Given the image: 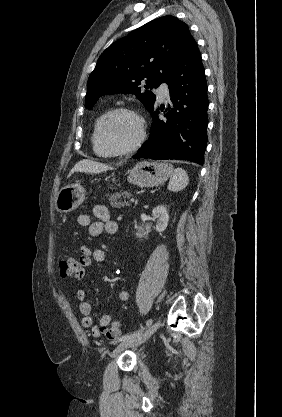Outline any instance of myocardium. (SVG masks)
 Returning a JSON list of instances; mask_svg holds the SVG:
<instances>
[{
    "label": "myocardium",
    "instance_id": "obj_1",
    "mask_svg": "<svg viewBox=\"0 0 282 417\" xmlns=\"http://www.w3.org/2000/svg\"><path fill=\"white\" fill-rule=\"evenodd\" d=\"M120 115H126V116H130L136 119L139 125V134L132 143L128 145L116 147V146L111 145L108 140V128L111 122ZM145 138H146L145 120L140 114L130 109L117 108V109L112 110L105 116V118L103 119L100 125V143H101V146L104 148V150L109 154H120V153L132 151L136 149L137 147H139L143 143Z\"/></svg>",
    "mask_w": 282,
    "mask_h": 417
}]
</instances>
